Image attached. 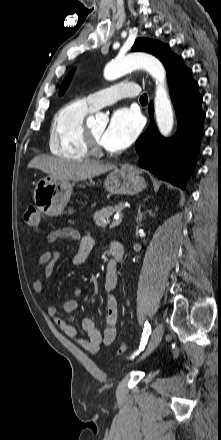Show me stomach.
Listing matches in <instances>:
<instances>
[{"label":"stomach","instance_id":"1","mask_svg":"<svg viewBox=\"0 0 221 440\" xmlns=\"http://www.w3.org/2000/svg\"><path fill=\"white\" fill-rule=\"evenodd\" d=\"M91 185L94 184L90 179ZM106 190L113 194L134 195L146 188L145 180L130 166L115 167L104 181ZM73 191L70 181H63L51 176L38 180L33 191V199L37 208L47 216L63 213ZM72 212V209H69Z\"/></svg>","mask_w":221,"mask_h":440}]
</instances>
